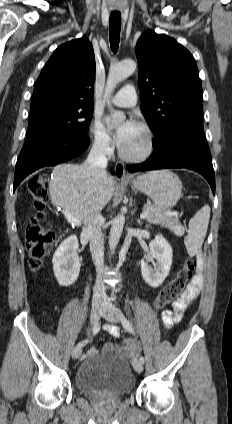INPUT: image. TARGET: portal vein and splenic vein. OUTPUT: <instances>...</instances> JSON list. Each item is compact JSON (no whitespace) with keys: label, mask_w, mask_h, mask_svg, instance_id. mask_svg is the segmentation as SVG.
I'll use <instances>...</instances> for the list:
<instances>
[{"label":"portal vein and splenic vein","mask_w":232,"mask_h":424,"mask_svg":"<svg viewBox=\"0 0 232 424\" xmlns=\"http://www.w3.org/2000/svg\"><path fill=\"white\" fill-rule=\"evenodd\" d=\"M168 215H173V216H177V213H172V212H166ZM148 213L147 212H142L140 214V218L141 219H145L147 217ZM64 216L66 218V220L70 223L73 224L75 226H79L81 225V221L74 218L71 214H69L68 212H64Z\"/></svg>","instance_id":"18ae733b"}]
</instances>
